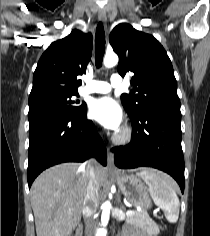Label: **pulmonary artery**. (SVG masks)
Listing matches in <instances>:
<instances>
[{
  "label": "pulmonary artery",
  "mask_w": 210,
  "mask_h": 236,
  "mask_svg": "<svg viewBox=\"0 0 210 236\" xmlns=\"http://www.w3.org/2000/svg\"><path fill=\"white\" fill-rule=\"evenodd\" d=\"M122 82V78L119 75H113L110 82L92 81L82 90V94L107 93L113 87L121 86Z\"/></svg>",
  "instance_id": "pulmonary-artery-1"
}]
</instances>
